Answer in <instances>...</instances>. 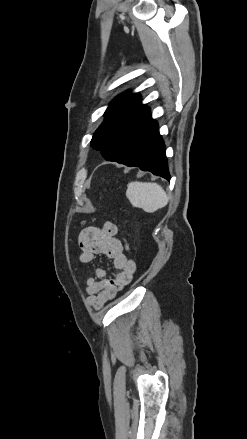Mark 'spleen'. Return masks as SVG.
I'll return each mask as SVG.
<instances>
[{
  "instance_id": "spleen-1",
  "label": "spleen",
  "mask_w": 247,
  "mask_h": 439,
  "mask_svg": "<svg viewBox=\"0 0 247 439\" xmlns=\"http://www.w3.org/2000/svg\"><path fill=\"white\" fill-rule=\"evenodd\" d=\"M126 196L134 207L147 213H154L168 203L166 192L157 183L130 182L127 185Z\"/></svg>"
}]
</instances>
